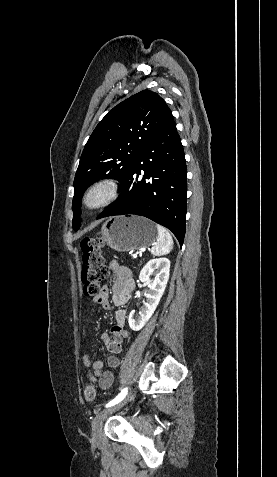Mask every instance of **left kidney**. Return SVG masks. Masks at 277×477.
Masks as SVG:
<instances>
[{"label":"left kidney","instance_id":"left-kidney-1","mask_svg":"<svg viewBox=\"0 0 277 477\" xmlns=\"http://www.w3.org/2000/svg\"><path fill=\"white\" fill-rule=\"evenodd\" d=\"M169 271L170 261L168 258L152 259L141 270L139 279L148 285L149 291L145 294L146 301L143 302L139 316H135L134 311L129 315L128 323L132 330H141L153 315L165 291ZM152 275L153 279H151Z\"/></svg>","mask_w":277,"mask_h":477}]
</instances>
